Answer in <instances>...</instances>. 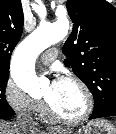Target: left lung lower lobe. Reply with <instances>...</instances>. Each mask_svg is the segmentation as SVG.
I'll list each match as a JSON object with an SVG mask.
<instances>
[{
    "instance_id": "left-lung-lower-lobe-1",
    "label": "left lung lower lobe",
    "mask_w": 116,
    "mask_h": 134,
    "mask_svg": "<svg viewBox=\"0 0 116 134\" xmlns=\"http://www.w3.org/2000/svg\"><path fill=\"white\" fill-rule=\"evenodd\" d=\"M116 106V105H114ZM116 116V107L110 109H102L100 111L93 110V113L90 119L101 118V117H109Z\"/></svg>"
}]
</instances>
